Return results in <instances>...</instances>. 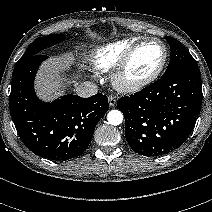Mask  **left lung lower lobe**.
Instances as JSON below:
<instances>
[{
  "label": "left lung lower lobe",
  "mask_w": 212,
  "mask_h": 212,
  "mask_svg": "<svg viewBox=\"0 0 212 212\" xmlns=\"http://www.w3.org/2000/svg\"><path fill=\"white\" fill-rule=\"evenodd\" d=\"M201 103V73L198 67H189L122 97L117 107L125 117V137L130 147L144 156H161L187 140Z\"/></svg>",
  "instance_id": "left-lung-lower-lobe-1"
}]
</instances>
